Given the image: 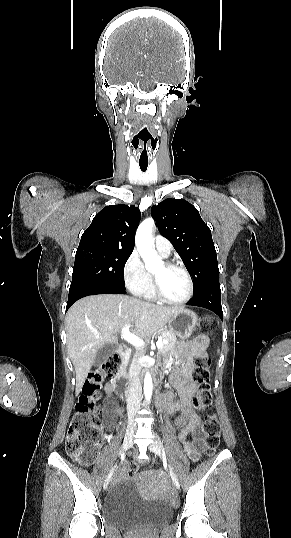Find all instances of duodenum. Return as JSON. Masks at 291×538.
Wrapping results in <instances>:
<instances>
[{"instance_id":"duodenum-1","label":"duodenum","mask_w":291,"mask_h":538,"mask_svg":"<svg viewBox=\"0 0 291 538\" xmlns=\"http://www.w3.org/2000/svg\"><path fill=\"white\" fill-rule=\"evenodd\" d=\"M118 352L123 359H126L129 355V348L121 347L118 350ZM121 371L122 373L117 372L115 373V376L112 378V381L115 383V386H116L115 394L119 398L128 397L132 394L131 381L121 379L123 378V373H127V368H122ZM162 377H164V374H162L161 372L150 373V378H153V381H154L153 386L155 388H158L159 386H161V383H160L161 381H165V378H162Z\"/></svg>"}]
</instances>
